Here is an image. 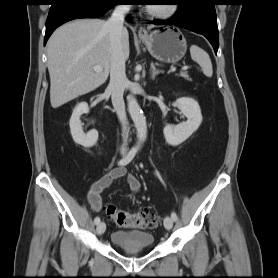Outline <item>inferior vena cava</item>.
<instances>
[{
    "instance_id": "1",
    "label": "inferior vena cava",
    "mask_w": 278,
    "mask_h": 278,
    "mask_svg": "<svg viewBox=\"0 0 278 278\" xmlns=\"http://www.w3.org/2000/svg\"><path fill=\"white\" fill-rule=\"evenodd\" d=\"M130 10V5H117L112 16L106 22L109 29L110 46H111V68L110 83L108 89L111 92L113 107L116 111L119 121L123 125V136L127 138L126 133L127 117L123 93L127 83L125 74V58L122 46V31L124 19ZM126 144H123L121 151L126 152Z\"/></svg>"
}]
</instances>
